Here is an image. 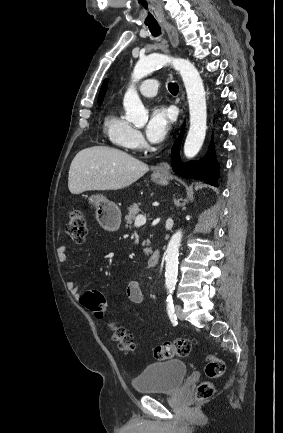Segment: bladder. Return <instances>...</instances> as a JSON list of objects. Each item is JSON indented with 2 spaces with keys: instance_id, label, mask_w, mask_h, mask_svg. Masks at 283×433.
<instances>
[{
  "instance_id": "31cf9c89",
  "label": "bladder",
  "mask_w": 283,
  "mask_h": 433,
  "mask_svg": "<svg viewBox=\"0 0 283 433\" xmlns=\"http://www.w3.org/2000/svg\"><path fill=\"white\" fill-rule=\"evenodd\" d=\"M187 373V364L180 360L154 362L133 379L137 393L173 392L182 384Z\"/></svg>"
}]
</instances>
